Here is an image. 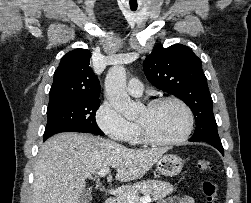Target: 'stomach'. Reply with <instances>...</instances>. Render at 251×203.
Listing matches in <instances>:
<instances>
[{
    "label": "stomach",
    "mask_w": 251,
    "mask_h": 203,
    "mask_svg": "<svg viewBox=\"0 0 251 203\" xmlns=\"http://www.w3.org/2000/svg\"><path fill=\"white\" fill-rule=\"evenodd\" d=\"M184 161L177 155L165 154L157 161V170L164 176H175L183 168Z\"/></svg>",
    "instance_id": "0dacf381"
}]
</instances>
